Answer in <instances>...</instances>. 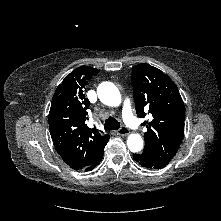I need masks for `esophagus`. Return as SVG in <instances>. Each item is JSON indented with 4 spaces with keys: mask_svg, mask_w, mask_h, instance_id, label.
<instances>
[{
    "mask_svg": "<svg viewBox=\"0 0 221 221\" xmlns=\"http://www.w3.org/2000/svg\"><path fill=\"white\" fill-rule=\"evenodd\" d=\"M118 135L121 136H126L129 134V129L126 126H122L118 131H117Z\"/></svg>",
    "mask_w": 221,
    "mask_h": 221,
    "instance_id": "esophagus-1",
    "label": "esophagus"
}]
</instances>
